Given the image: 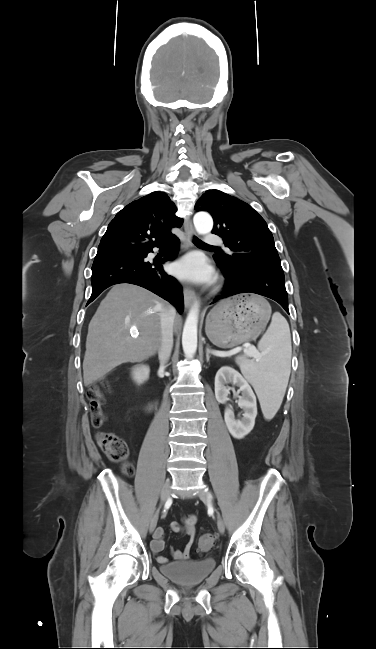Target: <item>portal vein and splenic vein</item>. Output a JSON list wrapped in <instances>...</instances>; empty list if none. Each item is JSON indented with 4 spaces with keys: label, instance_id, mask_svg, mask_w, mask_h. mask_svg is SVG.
<instances>
[{
    "label": "portal vein and splenic vein",
    "instance_id": "portal-vein-and-splenic-vein-1",
    "mask_svg": "<svg viewBox=\"0 0 376 649\" xmlns=\"http://www.w3.org/2000/svg\"><path fill=\"white\" fill-rule=\"evenodd\" d=\"M239 350H240L239 348H234V349L230 350L229 354L230 355L236 354ZM212 354L216 355V352L212 351ZM247 355L252 356V357L257 356L256 353L253 350H250V349L247 350Z\"/></svg>",
    "mask_w": 376,
    "mask_h": 649
}]
</instances>
